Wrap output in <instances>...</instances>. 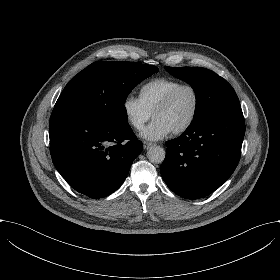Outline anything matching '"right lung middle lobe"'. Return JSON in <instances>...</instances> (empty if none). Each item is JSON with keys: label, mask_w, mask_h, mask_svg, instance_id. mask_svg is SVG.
I'll return each instance as SVG.
<instances>
[{"label": "right lung middle lobe", "mask_w": 280, "mask_h": 280, "mask_svg": "<svg viewBox=\"0 0 280 280\" xmlns=\"http://www.w3.org/2000/svg\"><path fill=\"white\" fill-rule=\"evenodd\" d=\"M152 65L97 61L75 75L53 111H73L101 121L127 122L124 106L130 91L158 72Z\"/></svg>", "instance_id": "dd1d6c3e"}]
</instances>
